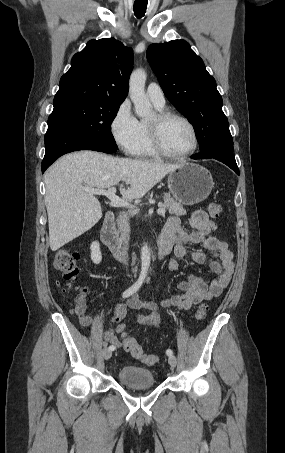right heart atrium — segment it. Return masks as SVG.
Segmentation results:
<instances>
[{
    "mask_svg": "<svg viewBox=\"0 0 285 453\" xmlns=\"http://www.w3.org/2000/svg\"><path fill=\"white\" fill-rule=\"evenodd\" d=\"M111 134L119 149L126 155H134L139 136V121L129 103H122L111 121Z\"/></svg>",
    "mask_w": 285,
    "mask_h": 453,
    "instance_id": "d8ad5b80",
    "label": "right heart atrium"
}]
</instances>
